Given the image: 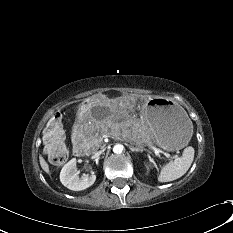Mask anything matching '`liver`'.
Listing matches in <instances>:
<instances>
[{
  "label": "liver",
  "instance_id": "6515ba94",
  "mask_svg": "<svg viewBox=\"0 0 233 233\" xmlns=\"http://www.w3.org/2000/svg\"><path fill=\"white\" fill-rule=\"evenodd\" d=\"M39 161H40V165L41 168L46 172L49 173V165L47 164V162L44 160V158L40 155L39 157Z\"/></svg>",
  "mask_w": 233,
  "mask_h": 233
}]
</instances>
